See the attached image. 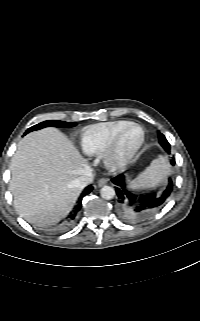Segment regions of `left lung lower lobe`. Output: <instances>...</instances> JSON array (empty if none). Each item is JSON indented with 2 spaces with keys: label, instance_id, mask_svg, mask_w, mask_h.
Returning <instances> with one entry per match:
<instances>
[{
  "label": "left lung lower lobe",
  "instance_id": "obj_1",
  "mask_svg": "<svg viewBox=\"0 0 200 321\" xmlns=\"http://www.w3.org/2000/svg\"><path fill=\"white\" fill-rule=\"evenodd\" d=\"M165 151L170 153V144L166 146ZM174 164L175 160L172 159L171 165ZM112 182L116 185L119 212L125 220L131 222L143 221L159 210L169 198L173 188L170 180L169 185L162 193L138 196L127 190L124 175L114 177Z\"/></svg>",
  "mask_w": 200,
  "mask_h": 321
}]
</instances>
